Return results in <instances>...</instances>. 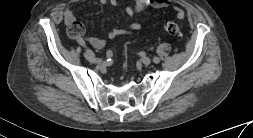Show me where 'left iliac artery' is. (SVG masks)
Instances as JSON below:
<instances>
[{
    "mask_svg": "<svg viewBox=\"0 0 253 138\" xmlns=\"http://www.w3.org/2000/svg\"><path fill=\"white\" fill-rule=\"evenodd\" d=\"M153 61H154V63H156V64H157V63H159V62H160V59H159L158 57H154V58H153Z\"/></svg>",
    "mask_w": 253,
    "mask_h": 138,
    "instance_id": "left-iliac-artery-1",
    "label": "left iliac artery"
}]
</instances>
